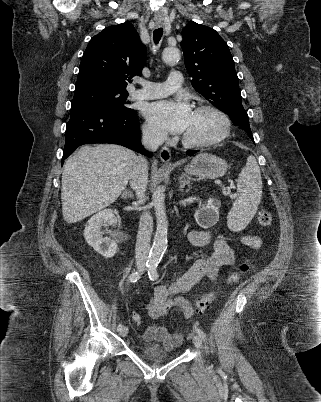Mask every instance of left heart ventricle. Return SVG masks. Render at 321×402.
I'll return each mask as SVG.
<instances>
[{
    "label": "left heart ventricle",
    "instance_id": "left-heart-ventricle-1",
    "mask_svg": "<svg viewBox=\"0 0 321 402\" xmlns=\"http://www.w3.org/2000/svg\"><path fill=\"white\" fill-rule=\"evenodd\" d=\"M223 124L211 111H193L183 135L193 140H209L218 136Z\"/></svg>",
    "mask_w": 321,
    "mask_h": 402
}]
</instances>
